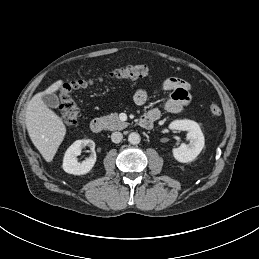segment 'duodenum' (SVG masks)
<instances>
[{
    "mask_svg": "<svg viewBox=\"0 0 259 259\" xmlns=\"http://www.w3.org/2000/svg\"><path fill=\"white\" fill-rule=\"evenodd\" d=\"M155 119L150 116H142L139 123L142 127H149L154 123ZM90 128L94 133H99L104 129V122L101 118H94L90 123Z\"/></svg>",
    "mask_w": 259,
    "mask_h": 259,
    "instance_id": "duodenum-1",
    "label": "duodenum"
}]
</instances>
